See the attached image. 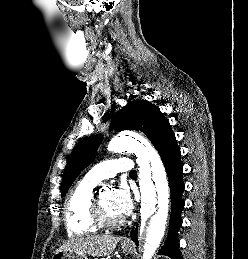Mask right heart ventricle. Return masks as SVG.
<instances>
[{
  "label": "right heart ventricle",
  "instance_id": "1",
  "mask_svg": "<svg viewBox=\"0 0 248 259\" xmlns=\"http://www.w3.org/2000/svg\"><path fill=\"white\" fill-rule=\"evenodd\" d=\"M96 185V182L84 177L70 192L65 208L66 228L69 235H86L99 230L91 216V205Z\"/></svg>",
  "mask_w": 248,
  "mask_h": 259
}]
</instances>
